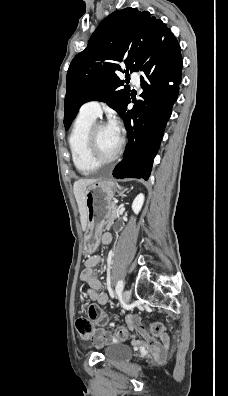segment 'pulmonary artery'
<instances>
[{
	"mask_svg": "<svg viewBox=\"0 0 228 396\" xmlns=\"http://www.w3.org/2000/svg\"><path fill=\"white\" fill-rule=\"evenodd\" d=\"M131 81L135 86L139 87L140 76L137 72H133L131 74ZM100 113H101V106L100 103L96 100L86 102L85 104L82 105L80 109V114L90 116L93 118L98 117Z\"/></svg>",
	"mask_w": 228,
	"mask_h": 396,
	"instance_id": "1",
	"label": "pulmonary artery"
}]
</instances>
